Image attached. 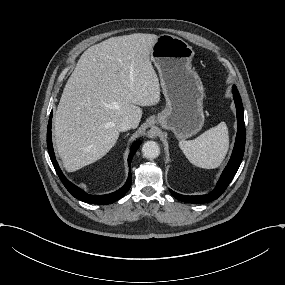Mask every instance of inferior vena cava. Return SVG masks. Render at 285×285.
Returning a JSON list of instances; mask_svg holds the SVG:
<instances>
[{"label":"inferior vena cava","instance_id":"inferior-vena-cava-1","mask_svg":"<svg viewBox=\"0 0 285 285\" xmlns=\"http://www.w3.org/2000/svg\"><path fill=\"white\" fill-rule=\"evenodd\" d=\"M131 128L132 124L128 117L123 118L122 121L117 124V130L120 132H125Z\"/></svg>","mask_w":285,"mask_h":285}]
</instances>
